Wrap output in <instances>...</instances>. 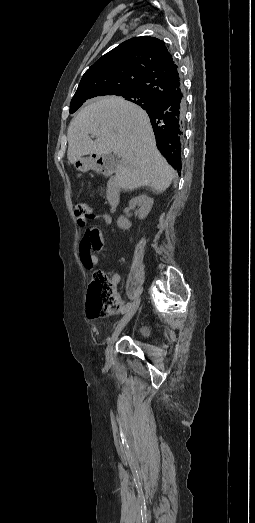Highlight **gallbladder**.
Here are the masks:
<instances>
[{"mask_svg":"<svg viewBox=\"0 0 255 523\" xmlns=\"http://www.w3.org/2000/svg\"><path fill=\"white\" fill-rule=\"evenodd\" d=\"M103 158H104L105 162H113V160H114V158H111V156H108V154H107V156H103Z\"/></svg>","mask_w":255,"mask_h":523,"instance_id":"bac80fb5","label":"gallbladder"}]
</instances>
